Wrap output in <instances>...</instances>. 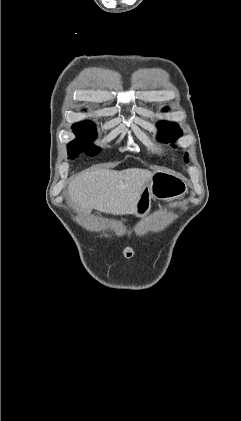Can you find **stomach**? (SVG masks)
<instances>
[{"instance_id":"1","label":"stomach","mask_w":241,"mask_h":421,"mask_svg":"<svg viewBox=\"0 0 241 421\" xmlns=\"http://www.w3.org/2000/svg\"><path fill=\"white\" fill-rule=\"evenodd\" d=\"M188 190L185 180L171 172L157 169L149 183L142 189L134 208L136 217L146 216L151 209V199L172 201L182 197Z\"/></svg>"}]
</instances>
